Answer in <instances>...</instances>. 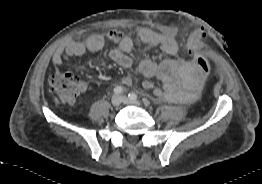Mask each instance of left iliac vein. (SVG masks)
<instances>
[{"mask_svg": "<svg viewBox=\"0 0 262 184\" xmlns=\"http://www.w3.org/2000/svg\"><path fill=\"white\" fill-rule=\"evenodd\" d=\"M121 99H122V102L125 103V104H132V105H137L139 106L141 103L140 101L136 100V99H130L126 96H121Z\"/></svg>", "mask_w": 262, "mask_h": 184, "instance_id": "left-iliac-vein-1", "label": "left iliac vein"}]
</instances>
